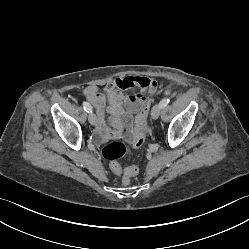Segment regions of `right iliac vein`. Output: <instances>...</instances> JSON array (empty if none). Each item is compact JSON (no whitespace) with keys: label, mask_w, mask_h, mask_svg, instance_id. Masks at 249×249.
Instances as JSON below:
<instances>
[{"label":"right iliac vein","mask_w":249,"mask_h":249,"mask_svg":"<svg viewBox=\"0 0 249 249\" xmlns=\"http://www.w3.org/2000/svg\"><path fill=\"white\" fill-rule=\"evenodd\" d=\"M88 120H89L91 125H96L97 118H96V115L93 112L89 113Z\"/></svg>","instance_id":"1"}]
</instances>
